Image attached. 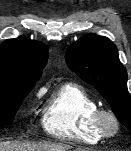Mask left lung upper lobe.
Here are the masks:
<instances>
[{
	"label": "left lung upper lobe",
	"instance_id": "5c2ea615",
	"mask_svg": "<svg viewBox=\"0 0 131 151\" xmlns=\"http://www.w3.org/2000/svg\"><path fill=\"white\" fill-rule=\"evenodd\" d=\"M66 62L85 82L107 100L118 120L131 130V96L127 71L119 61L116 46L104 36L87 34L66 51Z\"/></svg>",
	"mask_w": 131,
	"mask_h": 151
}]
</instances>
